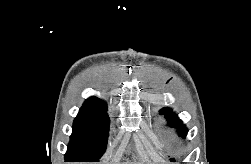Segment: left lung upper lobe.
Returning a JSON list of instances; mask_svg holds the SVG:
<instances>
[{
  "label": "left lung upper lobe",
  "mask_w": 251,
  "mask_h": 164,
  "mask_svg": "<svg viewBox=\"0 0 251 164\" xmlns=\"http://www.w3.org/2000/svg\"><path fill=\"white\" fill-rule=\"evenodd\" d=\"M159 112H160V114L165 115V117L169 123L176 125L178 130L182 134L187 135L188 130L186 129L185 125H183V122L178 118V116L175 115L174 113H172V109L163 108Z\"/></svg>",
  "instance_id": "1"
}]
</instances>
